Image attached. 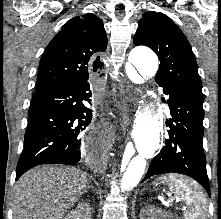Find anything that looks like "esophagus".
<instances>
[{
    "label": "esophagus",
    "mask_w": 221,
    "mask_h": 219,
    "mask_svg": "<svg viewBox=\"0 0 221 219\" xmlns=\"http://www.w3.org/2000/svg\"><path fill=\"white\" fill-rule=\"evenodd\" d=\"M126 97L124 100V111L127 110L128 108V103H131L135 100V91L131 86H127V90H126Z\"/></svg>",
    "instance_id": "1"
}]
</instances>
